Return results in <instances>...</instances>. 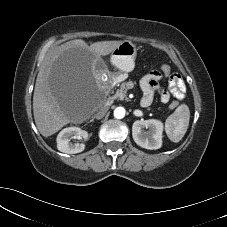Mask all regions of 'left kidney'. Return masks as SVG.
<instances>
[{"label":"left kidney","instance_id":"left-kidney-1","mask_svg":"<svg viewBox=\"0 0 227 227\" xmlns=\"http://www.w3.org/2000/svg\"><path fill=\"white\" fill-rule=\"evenodd\" d=\"M145 128L148 129L145 131ZM163 123L156 119L136 120L132 126V136L137 145L149 150L162 146Z\"/></svg>","mask_w":227,"mask_h":227}]
</instances>
